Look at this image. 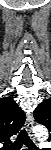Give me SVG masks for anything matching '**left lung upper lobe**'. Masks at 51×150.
<instances>
[{"mask_svg":"<svg viewBox=\"0 0 51 150\" xmlns=\"http://www.w3.org/2000/svg\"><path fill=\"white\" fill-rule=\"evenodd\" d=\"M36 122L51 130V100H44L34 111Z\"/></svg>","mask_w":51,"mask_h":150,"instance_id":"1","label":"left lung upper lobe"}]
</instances>
